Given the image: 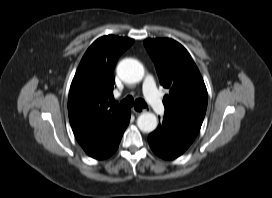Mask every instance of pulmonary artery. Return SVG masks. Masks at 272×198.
Here are the masks:
<instances>
[{
  "label": "pulmonary artery",
  "mask_w": 272,
  "mask_h": 198,
  "mask_svg": "<svg viewBox=\"0 0 272 198\" xmlns=\"http://www.w3.org/2000/svg\"><path fill=\"white\" fill-rule=\"evenodd\" d=\"M143 92L146 100L150 104V106L156 111L158 114H164L165 107L164 104L158 94L154 79L152 76H146L143 83Z\"/></svg>",
  "instance_id": "e3ab8cb5"
}]
</instances>
